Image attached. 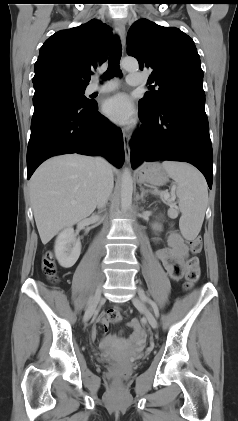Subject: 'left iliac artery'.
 Segmentation results:
<instances>
[{"label": "left iliac artery", "instance_id": "44dca946", "mask_svg": "<svg viewBox=\"0 0 238 421\" xmlns=\"http://www.w3.org/2000/svg\"><path fill=\"white\" fill-rule=\"evenodd\" d=\"M138 293H139V296H140V298L143 302H147L148 304L151 305L155 316L158 318L159 317V310H158V307H157L156 303L154 301H152L149 297H147L142 289H139Z\"/></svg>", "mask_w": 238, "mask_h": 421}]
</instances>
